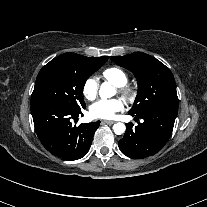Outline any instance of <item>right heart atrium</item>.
<instances>
[{
  "mask_svg": "<svg viewBox=\"0 0 207 207\" xmlns=\"http://www.w3.org/2000/svg\"><path fill=\"white\" fill-rule=\"evenodd\" d=\"M98 92V81L96 77L91 76L87 78L82 87V93L85 98L92 100L96 97Z\"/></svg>",
  "mask_w": 207,
  "mask_h": 207,
  "instance_id": "obj_1",
  "label": "right heart atrium"
}]
</instances>
